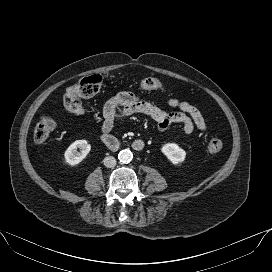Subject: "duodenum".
Masks as SVG:
<instances>
[{
  "label": "duodenum",
  "mask_w": 272,
  "mask_h": 272,
  "mask_svg": "<svg viewBox=\"0 0 272 272\" xmlns=\"http://www.w3.org/2000/svg\"><path fill=\"white\" fill-rule=\"evenodd\" d=\"M101 141L105 144L107 148L111 150H118L120 147L118 139L112 136L110 133H103L101 135ZM145 147L146 143L143 139H137L132 142V148L137 152L143 151Z\"/></svg>",
  "instance_id": "obj_1"
}]
</instances>
